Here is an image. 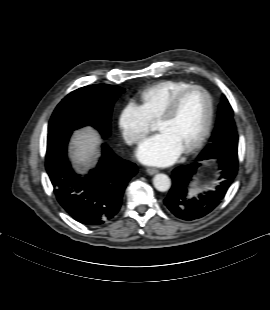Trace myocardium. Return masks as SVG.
Segmentation results:
<instances>
[{
    "mask_svg": "<svg viewBox=\"0 0 270 310\" xmlns=\"http://www.w3.org/2000/svg\"><path fill=\"white\" fill-rule=\"evenodd\" d=\"M191 91H201L204 93V95L206 96L207 99V115H206V121L204 124V127L200 133V135L197 137V139L185 150L182 151V154L184 155H188L191 154L193 152H195L196 150H198L206 141L211 127H212V123H213V117H214V104H213V100L212 97L210 95V93L208 92L207 89H205L204 87L200 86V85H189L188 87L180 90L179 92H177L169 101V103L167 104V106L163 109V111L160 113V115L157 118V121H168L169 119H171L175 113L178 110L179 104L182 100V98L189 92Z\"/></svg>",
    "mask_w": 270,
    "mask_h": 310,
    "instance_id": "obj_1",
    "label": "myocardium"
}]
</instances>
